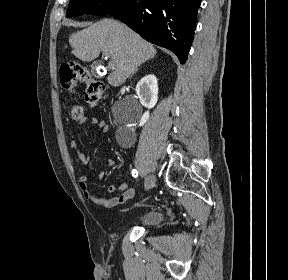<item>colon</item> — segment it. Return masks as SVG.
I'll use <instances>...</instances> for the list:
<instances>
[{
  "label": "colon",
  "mask_w": 288,
  "mask_h": 280,
  "mask_svg": "<svg viewBox=\"0 0 288 280\" xmlns=\"http://www.w3.org/2000/svg\"><path fill=\"white\" fill-rule=\"evenodd\" d=\"M59 79L63 89L68 92L74 91L78 83H85V101L89 106L97 105L105 91L103 83L92 79L89 72L77 64L63 66L59 72ZM69 114L73 120L80 121L84 117V108L80 104H72Z\"/></svg>",
  "instance_id": "obj_1"
}]
</instances>
